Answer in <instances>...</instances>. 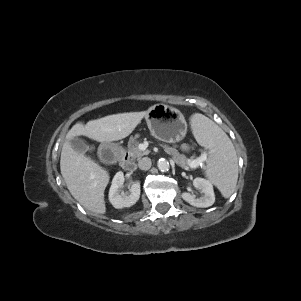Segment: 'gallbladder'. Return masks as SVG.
I'll list each match as a JSON object with an SVG mask.
<instances>
[{
	"mask_svg": "<svg viewBox=\"0 0 301 301\" xmlns=\"http://www.w3.org/2000/svg\"><path fill=\"white\" fill-rule=\"evenodd\" d=\"M70 144H71L72 148L79 154H85L89 149L86 142L78 137L71 138Z\"/></svg>",
	"mask_w": 301,
	"mask_h": 301,
	"instance_id": "obj_1",
	"label": "gallbladder"
}]
</instances>
